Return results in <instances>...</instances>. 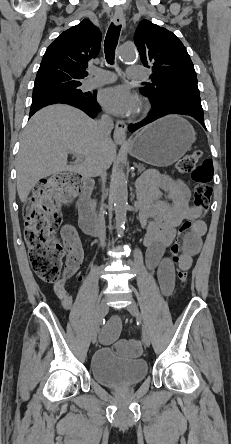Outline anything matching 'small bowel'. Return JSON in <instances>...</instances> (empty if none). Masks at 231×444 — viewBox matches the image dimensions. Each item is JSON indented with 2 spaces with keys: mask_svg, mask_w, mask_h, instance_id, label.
Segmentation results:
<instances>
[{
  "mask_svg": "<svg viewBox=\"0 0 231 444\" xmlns=\"http://www.w3.org/2000/svg\"><path fill=\"white\" fill-rule=\"evenodd\" d=\"M139 198L141 224L147 225L144 237L147 248L146 262L150 269L157 270L160 289L168 296L174 289L175 266L173 260L164 255L165 250L172 243L176 228L183 221H195L193 232L187 236L184 251L178 260L179 268L188 270L191 267L193 257L201 247V238L205 234V224L199 220L202 210L190 205V192L183 181L155 172L148 173L140 180ZM61 234L68 250L83 254L81 241L73 226L64 225ZM55 291L62 308L69 311L73 298L64 289V282L57 283ZM120 328L118 318L110 320L101 331V342H114L118 338Z\"/></svg>",
  "mask_w": 231,
  "mask_h": 444,
  "instance_id": "obj_1",
  "label": "small bowel"
}]
</instances>
